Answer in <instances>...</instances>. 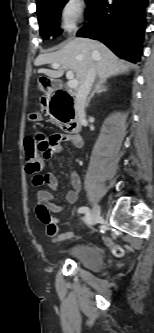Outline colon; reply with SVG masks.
I'll return each mask as SVG.
<instances>
[{"label":"colon","instance_id":"1","mask_svg":"<svg viewBox=\"0 0 154 333\" xmlns=\"http://www.w3.org/2000/svg\"><path fill=\"white\" fill-rule=\"evenodd\" d=\"M71 99L70 96L65 94H56L54 98L51 101V106H64L69 102ZM33 119L36 118V115L32 116ZM60 126L67 132H71L70 128L67 124V118L60 117L57 119ZM24 155H25V163H26V169L29 173H35L40 169L41 166V160L39 156V152L37 149V142L33 137H26L24 139ZM48 233L51 237H54L56 232V227L54 223H49L48 225ZM105 243L107 246L111 249L112 253L116 257H122L123 256V249L115 244L111 239L106 238Z\"/></svg>","mask_w":154,"mask_h":333}]
</instances>
